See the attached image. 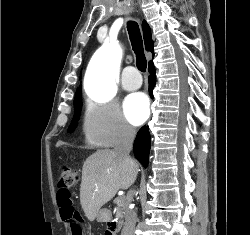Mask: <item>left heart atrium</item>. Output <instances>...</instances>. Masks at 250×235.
Wrapping results in <instances>:
<instances>
[{
    "instance_id": "39dd6f15",
    "label": "left heart atrium",
    "mask_w": 250,
    "mask_h": 235,
    "mask_svg": "<svg viewBox=\"0 0 250 235\" xmlns=\"http://www.w3.org/2000/svg\"><path fill=\"white\" fill-rule=\"evenodd\" d=\"M124 112L132 124H141L149 114L147 97L142 93H135L128 96L124 102Z\"/></svg>"
}]
</instances>
